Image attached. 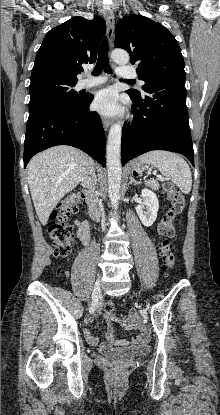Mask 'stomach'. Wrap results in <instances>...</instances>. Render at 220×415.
Instances as JSON below:
<instances>
[{
  "label": "stomach",
  "instance_id": "1",
  "mask_svg": "<svg viewBox=\"0 0 220 415\" xmlns=\"http://www.w3.org/2000/svg\"><path fill=\"white\" fill-rule=\"evenodd\" d=\"M146 168H147V166H145V165H143L139 162H134L133 165H132L133 171L139 172V173L144 171Z\"/></svg>",
  "mask_w": 220,
  "mask_h": 415
}]
</instances>
